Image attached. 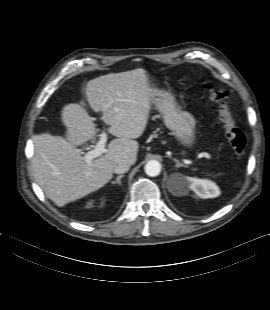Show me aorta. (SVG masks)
Returning <instances> with one entry per match:
<instances>
[{
	"mask_svg": "<svg viewBox=\"0 0 270 310\" xmlns=\"http://www.w3.org/2000/svg\"><path fill=\"white\" fill-rule=\"evenodd\" d=\"M145 173L150 177L158 176L161 172V164L156 160H150L145 165Z\"/></svg>",
	"mask_w": 270,
	"mask_h": 310,
	"instance_id": "obj_1",
	"label": "aorta"
}]
</instances>
